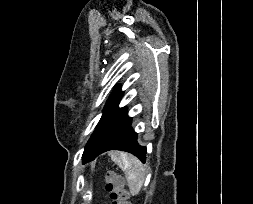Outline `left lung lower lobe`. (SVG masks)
Wrapping results in <instances>:
<instances>
[{
    "mask_svg": "<svg viewBox=\"0 0 253 204\" xmlns=\"http://www.w3.org/2000/svg\"><path fill=\"white\" fill-rule=\"evenodd\" d=\"M131 118L126 107L118 104L104 111L99 124L91 135L83 153V163L95 159L109 150H122L137 156L142 163L146 161V148L138 145L137 133L131 128Z\"/></svg>",
    "mask_w": 253,
    "mask_h": 204,
    "instance_id": "obj_1",
    "label": "left lung lower lobe"
}]
</instances>
